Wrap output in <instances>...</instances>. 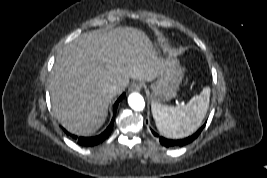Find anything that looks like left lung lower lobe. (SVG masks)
Listing matches in <instances>:
<instances>
[{
	"label": "left lung lower lobe",
	"instance_id": "0a47b994",
	"mask_svg": "<svg viewBox=\"0 0 267 178\" xmlns=\"http://www.w3.org/2000/svg\"><path fill=\"white\" fill-rule=\"evenodd\" d=\"M204 126L205 125H203L201 128H199L197 130V132H195L193 135H191L187 138H184V139H180V140H172V139L164 138L162 136H158V134L155 133L153 130H152V133L154 134V136L158 137L160 143L165 147H182V146L194 141L198 137V135L201 133Z\"/></svg>",
	"mask_w": 267,
	"mask_h": 178
}]
</instances>
